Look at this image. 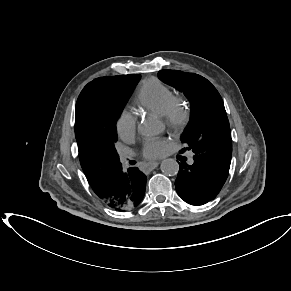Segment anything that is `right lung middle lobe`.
Returning <instances> with one entry per match:
<instances>
[{"mask_svg": "<svg viewBox=\"0 0 291 291\" xmlns=\"http://www.w3.org/2000/svg\"><path fill=\"white\" fill-rule=\"evenodd\" d=\"M140 75L101 77L88 83L77 102L90 111L91 137L108 157L119 160L115 150L116 121L119 118Z\"/></svg>", "mask_w": 291, "mask_h": 291, "instance_id": "dd1d6c3e", "label": "right lung middle lobe"}]
</instances>
